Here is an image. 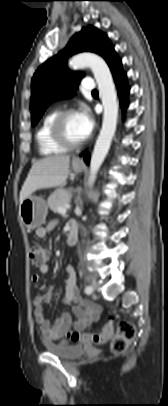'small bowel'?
Listing matches in <instances>:
<instances>
[{
    "label": "small bowel",
    "instance_id": "1",
    "mask_svg": "<svg viewBox=\"0 0 168 406\" xmlns=\"http://www.w3.org/2000/svg\"><path fill=\"white\" fill-rule=\"evenodd\" d=\"M57 225V221H51L46 227H40L36 230L38 238L46 237L48 231L52 230ZM42 273L50 271L49 265H44L40 268ZM67 275L66 290L64 294V301L66 303H73V312L76 316V321L73 322L68 312L64 311L59 314L53 324L46 318L44 304L49 303L53 298V289L50 288L42 295H38L33 299L34 318L40 327L43 335L50 341L60 340L64 331L74 328L76 330H83L90 327L93 323L97 322L100 317L101 309L96 303L81 298L77 285V277L75 270L72 266H68L65 270ZM32 282L39 283L41 276L33 274L31 277Z\"/></svg>",
    "mask_w": 168,
    "mask_h": 406
}]
</instances>
